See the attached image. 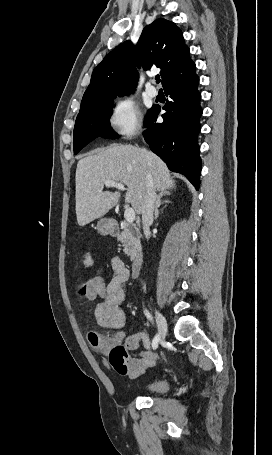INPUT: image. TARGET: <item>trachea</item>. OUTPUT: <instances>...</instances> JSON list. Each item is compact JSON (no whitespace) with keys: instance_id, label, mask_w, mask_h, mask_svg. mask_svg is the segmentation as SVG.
Returning <instances> with one entry per match:
<instances>
[{"instance_id":"obj_1","label":"trachea","mask_w":272,"mask_h":455,"mask_svg":"<svg viewBox=\"0 0 272 455\" xmlns=\"http://www.w3.org/2000/svg\"><path fill=\"white\" fill-rule=\"evenodd\" d=\"M155 79H156V83H160L161 80H160V76H159V75H157V76L155 77Z\"/></svg>"}]
</instances>
